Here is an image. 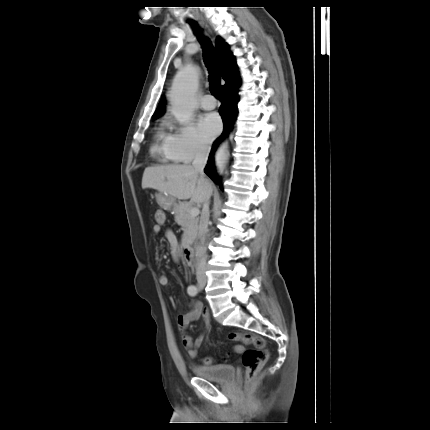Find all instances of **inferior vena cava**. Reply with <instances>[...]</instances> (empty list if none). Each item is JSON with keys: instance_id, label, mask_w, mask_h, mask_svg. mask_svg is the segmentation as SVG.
<instances>
[{"instance_id": "inferior-vena-cava-1", "label": "inferior vena cava", "mask_w": 430, "mask_h": 430, "mask_svg": "<svg viewBox=\"0 0 430 430\" xmlns=\"http://www.w3.org/2000/svg\"><path fill=\"white\" fill-rule=\"evenodd\" d=\"M210 152V147H201L195 155L194 161L192 163L194 170L199 174L200 180L202 182L206 181L204 168L207 164L208 156ZM209 204L210 195L205 197L202 203V212L200 217V222L198 226V238L203 245L200 247V253L197 258L196 264V276L197 279H205V271L207 265L206 247L204 246L206 235L208 232V221H209Z\"/></svg>"}]
</instances>
